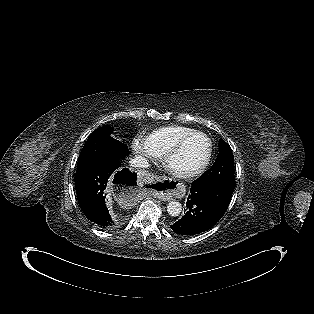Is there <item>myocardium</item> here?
<instances>
[{
    "label": "myocardium",
    "mask_w": 314,
    "mask_h": 314,
    "mask_svg": "<svg viewBox=\"0 0 314 314\" xmlns=\"http://www.w3.org/2000/svg\"><path fill=\"white\" fill-rule=\"evenodd\" d=\"M195 136H202L204 137L207 142H208V154L207 157L205 159V161L197 168L190 170V171H179L176 170L175 168H173L171 162L172 159L181 152V150L183 149L185 143L195 137ZM213 141L212 139L209 137V135H207L206 133L202 132V131H195L192 132L190 134H187L185 136H183L182 138H180L164 155L163 157V163L165 168L171 172L173 175L179 177V178H185V179H190V178H195L201 174H203L207 168L209 167L212 158H213Z\"/></svg>",
    "instance_id": "f54148a6"
}]
</instances>
